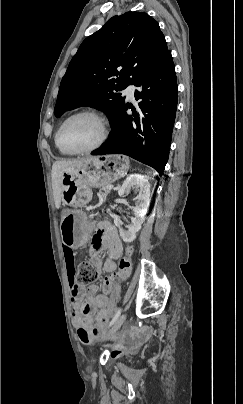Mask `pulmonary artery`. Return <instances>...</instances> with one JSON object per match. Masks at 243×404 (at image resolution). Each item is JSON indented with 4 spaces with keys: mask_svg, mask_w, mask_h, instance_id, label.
Wrapping results in <instances>:
<instances>
[{
    "mask_svg": "<svg viewBox=\"0 0 243 404\" xmlns=\"http://www.w3.org/2000/svg\"><path fill=\"white\" fill-rule=\"evenodd\" d=\"M139 89L138 86L135 84H128L124 89H123V94L132 102H135V94L136 91Z\"/></svg>",
    "mask_w": 243,
    "mask_h": 404,
    "instance_id": "e3ab8cb5",
    "label": "pulmonary artery"
}]
</instances>
